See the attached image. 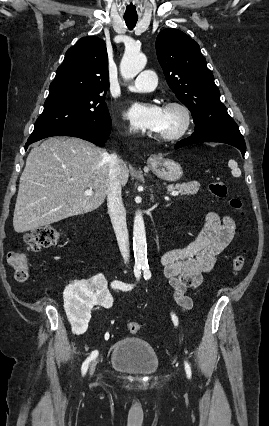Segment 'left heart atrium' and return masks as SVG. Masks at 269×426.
<instances>
[{
	"mask_svg": "<svg viewBox=\"0 0 269 426\" xmlns=\"http://www.w3.org/2000/svg\"><path fill=\"white\" fill-rule=\"evenodd\" d=\"M164 109L155 103L134 102L125 112V118L137 129L156 131L163 118Z\"/></svg>",
	"mask_w": 269,
	"mask_h": 426,
	"instance_id": "1",
	"label": "left heart atrium"
}]
</instances>
